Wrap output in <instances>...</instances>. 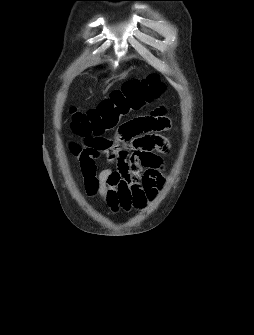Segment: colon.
<instances>
[{"label": "colon", "mask_w": 254, "mask_h": 335, "mask_svg": "<svg viewBox=\"0 0 254 335\" xmlns=\"http://www.w3.org/2000/svg\"><path fill=\"white\" fill-rule=\"evenodd\" d=\"M164 90L165 85L157 74H150L142 80H130L121 89L114 90L95 109L86 112L72 109L73 130L87 148L105 149L109 141L103 137L104 134L116 130L123 118L141 111L149 102L159 98Z\"/></svg>", "instance_id": "colon-1"}]
</instances>
